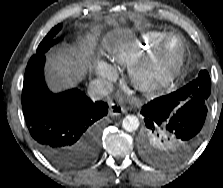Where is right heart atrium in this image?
Returning <instances> with one entry per match:
<instances>
[{
  "instance_id": "obj_1",
  "label": "right heart atrium",
  "mask_w": 223,
  "mask_h": 188,
  "mask_svg": "<svg viewBox=\"0 0 223 188\" xmlns=\"http://www.w3.org/2000/svg\"><path fill=\"white\" fill-rule=\"evenodd\" d=\"M98 74L106 80H112L116 75L115 70L111 66L106 64H102L99 67Z\"/></svg>"
}]
</instances>
